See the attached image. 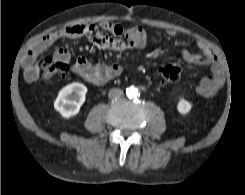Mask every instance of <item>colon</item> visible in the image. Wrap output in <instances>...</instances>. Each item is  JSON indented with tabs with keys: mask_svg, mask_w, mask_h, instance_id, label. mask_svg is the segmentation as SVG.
<instances>
[{
	"mask_svg": "<svg viewBox=\"0 0 245 195\" xmlns=\"http://www.w3.org/2000/svg\"><path fill=\"white\" fill-rule=\"evenodd\" d=\"M69 69L68 63L53 57H45L41 62V78L44 82L63 79ZM181 67L178 63H166L160 68L162 83H171L180 77Z\"/></svg>",
	"mask_w": 245,
	"mask_h": 195,
	"instance_id": "colon-1",
	"label": "colon"
}]
</instances>
